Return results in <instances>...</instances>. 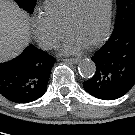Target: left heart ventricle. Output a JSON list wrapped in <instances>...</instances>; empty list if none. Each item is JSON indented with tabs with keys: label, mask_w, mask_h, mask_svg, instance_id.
Segmentation results:
<instances>
[{
	"label": "left heart ventricle",
	"mask_w": 135,
	"mask_h": 135,
	"mask_svg": "<svg viewBox=\"0 0 135 135\" xmlns=\"http://www.w3.org/2000/svg\"><path fill=\"white\" fill-rule=\"evenodd\" d=\"M108 0H85L79 16L69 25L67 34L85 45L95 40L106 24Z\"/></svg>",
	"instance_id": "left-heart-ventricle-1"
}]
</instances>
